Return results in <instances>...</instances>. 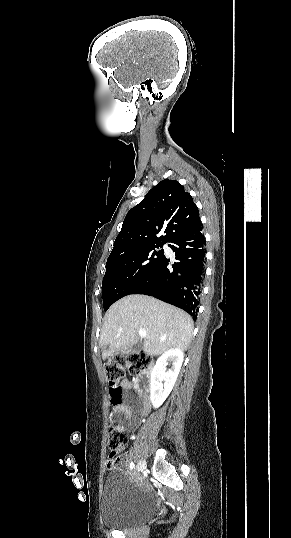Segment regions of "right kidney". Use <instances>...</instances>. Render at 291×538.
<instances>
[{
  "mask_svg": "<svg viewBox=\"0 0 291 538\" xmlns=\"http://www.w3.org/2000/svg\"><path fill=\"white\" fill-rule=\"evenodd\" d=\"M183 351L178 348H171L164 352L156 361L151 373L150 399L155 408H159L166 400L174 387L179 371L183 363ZM168 362L172 363V368L166 371ZM164 380V386L162 381Z\"/></svg>",
  "mask_w": 291,
  "mask_h": 538,
  "instance_id": "right-kidney-1",
  "label": "right kidney"
}]
</instances>
